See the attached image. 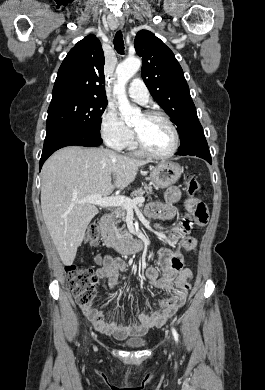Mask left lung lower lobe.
I'll return each instance as SVG.
<instances>
[{"instance_id": "1", "label": "left lung lower lobe", "mask_w": 265, "mask_h": 390, "mask_svg": "<svg viewBox=\"0 0 265 390\" xmlns=\"http://www.w3.org/2000/svg\"><path fill=\"white\" fill-rule=\"evenodd\" d=\"M177 155L184 156H197L203 158L210 164H212V159L210 155V151L208 149V144L204 135L199 137L188 149L182 152H177Z\"/></svg>"}]
</instances>
